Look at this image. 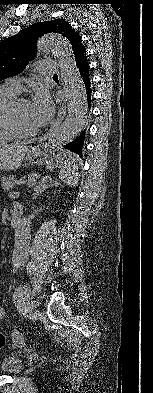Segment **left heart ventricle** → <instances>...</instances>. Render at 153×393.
Here are the masks:
<instances>
[{
  "instance_id": "1",
  "label": "left heart ventricle",
  "mask_w": 153,
  "mask_h": 393,
  "mask_svg": "<svg viewBox=\"0 0 153 393\" xmlns=\"http://www.w3.org/2000/svg\"><path fill=\"white\" fill-rule=\"evenodd\" d=\"M29 103L21 104L17 109V118L22 130H34L35 124L32 120Z\"/></svg>"
}]
</instances>
